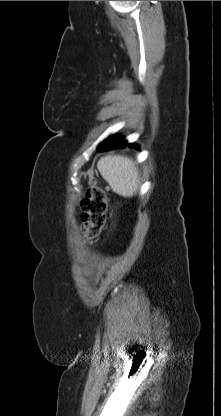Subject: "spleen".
I'll list each match as a JSON object with an SVG mask.
<instances>
[{
  "instance_id": "1",
  "label": "spleen",
  "mask_w": 221,
  "mask_h": 416,
  "mask_svg": "<svg viewBox=\"0 0 221 416\" xmlns=\"http://www.w3.org/2000/svg\"><path fill=\"white\" fill-rule=\"evenodd\" d=\"M97 168L113 191L124 197H131L139 186V173L133 161L125 156L102 157Z\"/></svg>"
}]
</instances>
